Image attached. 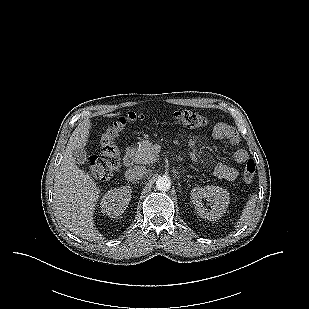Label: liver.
Returning a JSON list of instances; mask_svg holds the SVG:
<instances>
[{"label": "liver", "instance_id": "obj_1", "mask_svg": "<svg viewBox=\"0 0 309 309\" xmlns=\"http://www.w3.org/2000/svg\"><path fill=\"white\" fill-rule=\"evenodd\" d=\"M90 128L86 119L73 131L55 173L53 200L57 217L67 229L88 241L100 242L104 238L93 221L100 190L93 178L78 168L72 155L74 149L86 146Z\"/></svg>", "mask_w": 309, "mask_h": 309}]
</instances>
